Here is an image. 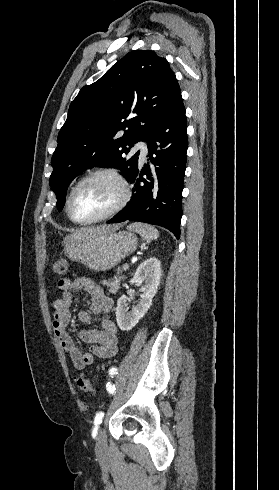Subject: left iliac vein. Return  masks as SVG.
<instances>
[{
	"mask_svg": "<svg viewBox=\"0 0 279 490\" xmlns=\"http://www.w3.org/2000/svg\"><path fill=\"white\" fill-rule=\"evenodd\" d=\"M107 446V439L105 430L100 428L96 437V447L95 450L97 453H101L105 450Z\"/></svg>",
	"mask_w": 279,
	"mask_h": 490,
	"instance_id": "obj_1",
	"label": "left iliac vein"
}]
</instances>
